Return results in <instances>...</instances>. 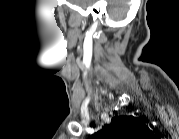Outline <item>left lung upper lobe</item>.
<instances>
[{"label":"left lung upper lobe","instance_id":"obj_1","mask_svg":"<svg viewBox=\"0 0 179 139\" xmlns=\"http://www.w3.org/2000/svg\"><path fill=\"white\" fill-rule=\"evenodd\" d=\"M149 133L148 127L133 116H116L109 125L93 134L91 139H141Z\"/></svg>","mask_w":179,"mask_h":139}]
</instances>
